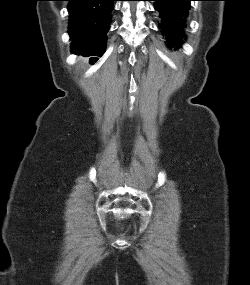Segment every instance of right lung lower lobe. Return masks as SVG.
I'll list each match as a JSON object with an SVG mask.
<instances>
[{
    "instance_id": "obj_1",
    "label": "right lung lower lobe",
    "mask_w": 250,
    "mask_h": 285,
    "mask_svg": "<svg viewBox=\"0 0 250 285\" xmlns=\"http://www.w3.org/2000/svg\"><path fill=\"white\" fill-rule=\"evenodd\" d=\"M70 14L68 33L72 53L101 56L116 0H66ZM93 61L96 58H91Z\"/></svg>"
}]
</instances>
